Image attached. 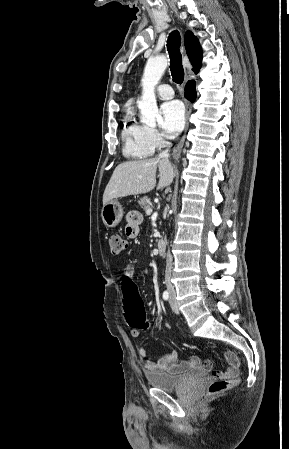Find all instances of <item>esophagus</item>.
<instances>
[{
  "label": "esophagus",
  "instance_id": "obj_1",
  "mask_svg": "<svg viewBox=\"0 0 289 449\" xmlns=\"http://www.w3.org/2000/svg\"><path fill=\"white\" fill-rule=\"evenodd\" d=\"M191 110H192L191 103L189 101H186V126H185V133L182 136V138H181L180 142L178 143V145L173 150V154L172 155H173L174 159L179 158V156L181 154V150H182V147H183V144H184V141H185V137H186V131H187L188 127H189V116L191 114Z\"/></svg>",
  "mask_w": 289,
  "mask_h": 449
}]
</instances>
